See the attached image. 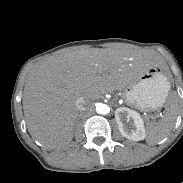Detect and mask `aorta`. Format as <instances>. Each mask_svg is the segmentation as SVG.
<instances>
[{
    "label": "aorta",
    "instance_id": "aorta-1",
    "mask_svg": "<svg viewBox=\"0 0 183 183\" xmlns=\"http://www.w3.org/2000/svg\"><path fill=\"white\" fill-rule=\"evenodd\" d=\"M96 111H97V113H99V114L105 115V114H108V113L110 112V108H109V106L106 105V104L99 103V104H97V106H96Z\"/></svg>",
    "mask_w": 183,
    "mask_h": 183
}]
</instances>
